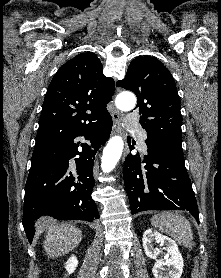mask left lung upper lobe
I'll use <instances>...</instances> for the list:
<instances>
[{
    "label": "left lung upper lobe",
    "instance_id": "5c2ea615",
    "mask_svg": "<svg viewBox=\"0 0 221 278\" xmlns=\"http://www.w3.org/2000/svg\"><path fill=\"white\" fill-rule=\"evenodd\" d=\"M117 86L136 94L140 124L147 131V140L182 141V116L176 84L159 60L151 56L136 57Z\"/></svg>",
    "mask_w": 221,
    "mask_h": 278
}]
</instances>
